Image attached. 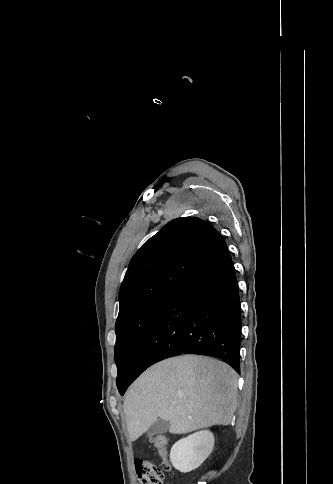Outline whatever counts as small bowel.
Instances as JSON below:
<instances>
[{
  "mask_svg": "<svg viewBox=\"0 0 333 484\" xmlns=\"http://www.w3.org/2000/svg\"><path fill=\"white\" fill-rule=\"evenodd\" d=\"M140 463H141V460H139V459L135 461V468H136L137 472H138Z\"/></svg>",
  "mask_w": 333,
  "mask_h": 484,
  "instance_id": "obj_1",
  "label": "small bowel"
}]
</instances>
